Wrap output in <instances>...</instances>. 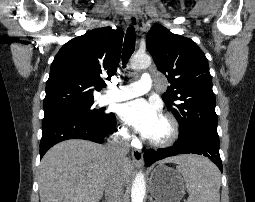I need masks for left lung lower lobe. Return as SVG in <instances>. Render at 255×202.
<instances>
[{
	"label": "left lung lower lobe",
	"mask_w": 255,
	"mask_h": 202,
	"mask_svg": "<svg viewBox=\"0 0 255 202\" xmlns=\"http://www.w3.org/2000/svg\"><path fill=\"white\" fill-rule=\"evenodd\" d=\"M199 154L208 157L222 171L219 155V137L212 134H199L187 138H178L174 146L158 150L148 149L144 153V160L150 166L157 160L178 154Z\"/></svg>",
	"instance_id": "1"
}]
</instances>
